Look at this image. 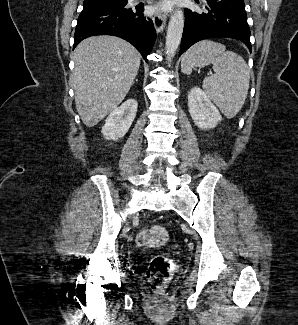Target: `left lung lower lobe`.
I'll return each mask as SVG.
<instances>
[{"label":"left lung lower lobe","instance_id":"1","mask_svg":"<svg viewBox=\"0 0 298 325\" xmlns=\"http://www.w3.org/2000/svg\"><path fill=\"white\" fill-rule=\"evenodd\" d=\"M199 3L198 0H195ZM206 13L185 9V25L179 56L194 43L209 38L241 40L251 52L250 29L243 0H206Z\"/></svg>","mask_w":298,"mask_h":325}]
</instances>
